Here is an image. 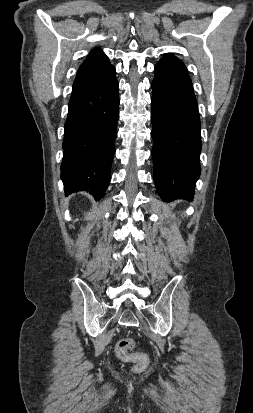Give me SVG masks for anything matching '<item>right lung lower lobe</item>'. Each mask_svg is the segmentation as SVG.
I'll use <instances>...</instances> for the list:
<instances>
[{
	"label": "right lung lower lobe",
	"instance_id": "98d812e1",
	"mask_svg": "<svg viewBox=\"0 0 253 413\" xmlns=\"http://www.w3.org/2000/svg\"><path fill=\"white\" fill-rule=\"evenodd\" d=\"M118 88L112 67L92 87L71 95L61 164L67 195L82 190L96 200L105 195L115 153Z\"/></svg>",
	"mask_w": 253,
	"mask_h": 413
}]
</instances>
